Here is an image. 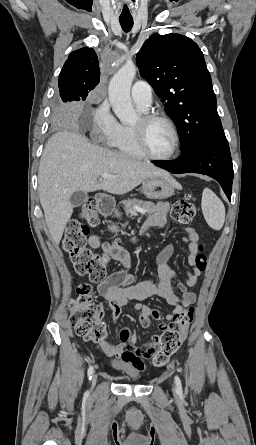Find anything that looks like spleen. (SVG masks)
Segmentation results:
<instances>
[{
	"label": "spleen",
	"mask_w": 256,
	"mask_h": 445,
	"mask_svg": "<svg viewBox=\"0 0 256 445\" xmlns=\"http://www.w3.org/2000/svg\"><path fill=\"white\" fill-rule=\"evenodd\" d=\"M201 208L207 224L214 230H220L225 221V207L209 188L203 190Z\"/></svg>",
	"instance_id": "1"
}]
</instances>
